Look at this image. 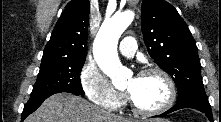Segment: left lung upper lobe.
<instances>
[{"mask_svg":"<svg viewBox=\"0 0 221 122\" xmlns=\"http://www.w3.org/2000/svg\"><path fill=\"white\" fill-rule=\"evenodd\" d=\"M141 12L148 53L173 78L177 102L206 96L195 40L177 10L164 0H143Z\"/></svg>","mask_w":221,"mask_h":122,"instance_id":"left-lung-upper-lobe-1","label":"left lung upper lobe"}]
</instances>
